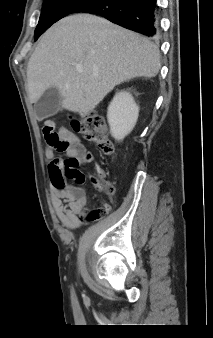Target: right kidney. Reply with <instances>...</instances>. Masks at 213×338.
I'll return each instance as SVG.
<instances>
[{
    "label": "right kidney",
    "instance_id": "obj_1",
    "mask_svg": "<svg viewBox=\"0 0 213 338\" xmlns=\"http://www.w3.org/2000/svg\"><path fill=\"white\" fill-rule=\"evenodd\" d=\"M139 115V107L127 91L117 93L111 101L107 118L111 135L122 140L134 128Z\"/></svg>",
    "mask_w": 213,
    "mask_h": 338
}]
</instances>
